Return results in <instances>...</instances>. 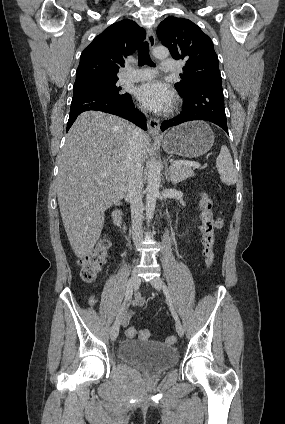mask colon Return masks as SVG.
<instances>
[{"mask_svg": "<svg viewBox=\"0 0 285 424\" xmlns=\"http://www.w3.org/2000/svg\"><path fill=\"white\" fill-rule=\"evenodd\" d=\"M200 208L202 210V244H203V257L208 268H211L214 261V240L215 231L221 226V220L213 221L210 216L211 202L207 193H203L200 201ZM110 249V241L107 237H102L96 246L88 254L79 259L80 276L83 281L91 282L100 273ZM137 331L131 327L126 331L129 338L135 337ZM141 339H149L151 334L148 330H142L138 333ZM167 343H174L175 337L170 336L166 339Z\"/></svg>", "mask_w": 285, "mask_h": 424, "instance_id": "obj_1", "label": "colon"}]
</instances>
